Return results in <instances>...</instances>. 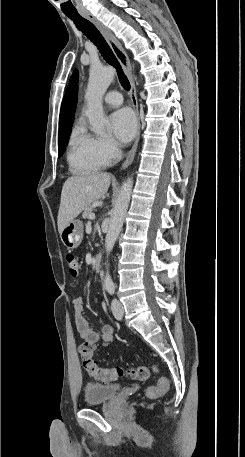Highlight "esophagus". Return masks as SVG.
Returning a JSON list of instances; mask_svg holds the SVG:
<instances>
[{
    "label": "esophagus",
    "instance_id": "esophagus-1",
    "mask_svg": "<svg viewBox=\"0 0 245 457\" xmlns=\"http://www.w3.org/2000/svg\"><path fill=\"white\" fill-rule=\"evenodd\" d=\"M80 15H82V17H85L87 20H90V22H92L93 25H95V27H97L99 32H101L102 36L108 43L109 47L111 48V50L114 53L115 57L117 58L118 62L121 64L124 72L126 73L128 79H129V82H130V98L132 100V106H133L134 112L137 117V130H136V137H135L134 144L128 154V157L123 162V165L121 167V168H127L129 165H131V163L134 160V156H135L139 138H140V125H141L140 117H139V110H138V100H137V96H136V87H135V82H134L132 72H131L130 60H129V57L126 54L125 50L123 49V47L116 40V38L110 32V30H108V28L105 27V25H103V23L99 22V20H97V18L94 17V15H92L89 12L80 13Z\"/></svg>",
    "mask_w": 245,
    "mask_h": 457
}]
</instances>
